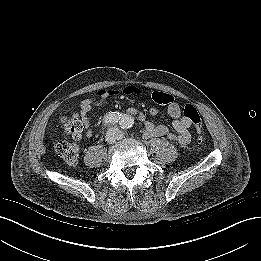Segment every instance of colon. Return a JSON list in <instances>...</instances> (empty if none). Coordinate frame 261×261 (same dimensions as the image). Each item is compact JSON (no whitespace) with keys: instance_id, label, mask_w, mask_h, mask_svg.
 Returning <instances> with one entry per match:
<instances>
[{"instance_id":"1","label":"colon","mask_w":261,"mask_h":261,"mask_svg":"<svg viewBox=\"0 0 261 261\" xmlns=\"http://www.w3.org/2000/svg\"><path fill=\"white\" fill-rule=\"evenodd\" d=\"M125 94H137L139 93L138 88L134 86H127L121 90ZM120 93L119 90H102L98 94L100 96H110ZM154 101L157 104H168L173 101V96L155 91L152 94ZM184 116L188 118L194 125L197 133V144L201 145L204 142L203 124L199 111L192 104H186L184 107ZM64 127V133L67 137L77 139L80 137L84 125L77 113L65 115L61 118ZM56 152L60 158H62L67 164L74 165L79 157V147L76 144L68 142H59L56 146Z\"/></svg>"}]
</instances>
